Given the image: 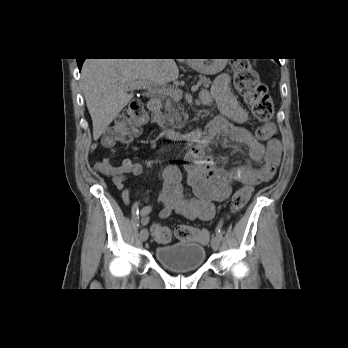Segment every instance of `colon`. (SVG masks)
Masks as SVG:
<instances>
[{"label":"colon","instance_id":"colon-1","mask_svg":"<svg viewBox=\"0 0 348 348\" xmlns=\"http://www.w3.org/2000/svg\"><path fill=\"white\" fill-rule=\"evenodd\" d=\"M234 85L246 104L250 107L253 116L260 122L256 130L259 140H269L275 132L272 118L274 114L273 100L265 84H263L251 65L244 58L232 61ZM147 116L141 102L135 101L119 115L113 123L105 130L101 143L106 148H111L120 143H128L135 138L140 127L145 124ZM252 189L242 186L235 191L231 200V211L236 214L240 212L250 199ZM151 231L155 241L167 243L172 238V231L164 225L153 224ZM174 234L180 241H196L207 244L210 239L208 231L198 229L189 225H179Z\"/></svg>","mask_w":348,"mask_h":348}]
</instances>
